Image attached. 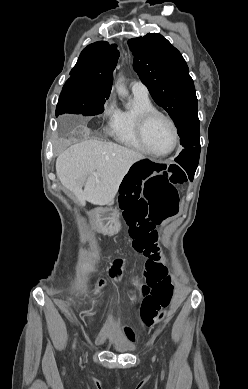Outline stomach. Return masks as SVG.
Masks as SVG:
<instances>
[{
  "label": "stomach",
  "mask_w": 248,
  "mask_h": 389,
  "mask_svg": "<svg viewBox=\"0 0 248 389\" xmlns=\"http://www.w3.org/2000/svg\"><path fill=\"white\" fill-rule=\"evenodd\" d=\"M95 212L96 213H94L91 217L95 220V225L101 226L98 230L99 234L119 235L121 233L119 225L121 224L120 219L122 218V215L119 213V208L98 207L95 209ZM115 213L117 214L115 215ZM98 218H100V220H97Z\"/></svg>",
  "instance_id": "0dacf381"
}]
</instances>
